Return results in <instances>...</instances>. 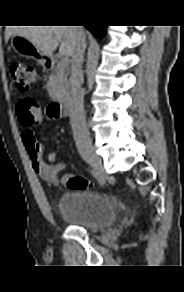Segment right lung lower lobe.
Here are the masks:
<instances>
[{"mask_svg": "<svg viewBox=\"0 0 184 292\" xmlns=\"http://www.w3.org/2000/svg\"><path fill=\"white\" fill-rule=\"evenodd\" d=\"M94 36L102 38L106 32V26L97 24H88L85 26Z\"/></svg>", "mask_w": 184, "mask_h": 292, "instance_id": "right-lung-lower-lobe-1", "label": "right lung lower lobe"}]
</instances>
